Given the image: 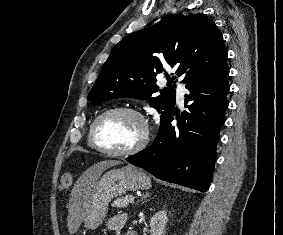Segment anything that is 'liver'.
<instances>
[{
	"mask_svg": "<svg viewBox=\"0 0 283 235\" xmlns=\"http://www.w3.org/2000/svg\"><path fill=\"white\" fill-rule=\"evenodd\" d=\"M117 160L102 161L88 168L76 181L68 206V228L70 233L77 231L85 217V207L90 192L100 175L108 168L119 165Z\"/></svg>",
	"mask_w": 283,
	"mask_h": 235,
	"instance_id": "obj_1",
	"label": "liver"
}]
</instances>
